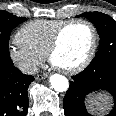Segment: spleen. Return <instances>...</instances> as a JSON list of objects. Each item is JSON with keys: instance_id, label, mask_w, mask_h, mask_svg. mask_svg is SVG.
I'll use <instances>...</instances> for the list:
<instances>
[{"instance_id": "3e777b00", "label": "spleen", "mask_w": 116, "mask_h": 116, "mask_svg": "<svg viewBox=\"0 0 116 116\" xmlns=\"http://www.w3.org/2000/svg\"><path fill=\"white\" fill-rule=\"evenodd\" d=\"M107 97L106 96H102V95H96L93 96L92 99L90 100V109L92 111H104L106 109V107L108 106L109 102H107Z\"/></svg>"}]
</instances>
